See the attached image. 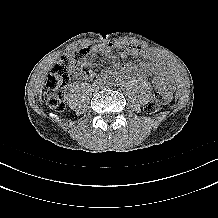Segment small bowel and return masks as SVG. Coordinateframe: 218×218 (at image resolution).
Instances as JSON below:
<instances>
[{"instance_id": "1", "label": "small bowel", "mask_w": 218, "mask_h": 218, "mask_svg": "<svg viewBox=\"0 0 218 218\" xmlns=\"http://www.w3.org/2000/svg\"><path fill=\"white\" fill-rule=\"evenodd\" d=\"M113 46V43L106 42L82 48L85 50V54L72 67V76L80 80L92 78L94 72L90 69L91 61L89 55L101 52L113 62V68H104L102 70L103 75L112 74L117 80L122 81L127 74L147 73L153 77L157 89L163 93L165 103L172 100L174 86L170 71L155 52L137 45L127 46L124 51L125 55L142 57L146 61L140 64L131 62L120 64L117 57L113 54Z\"/></svg>"}]
</instances>
